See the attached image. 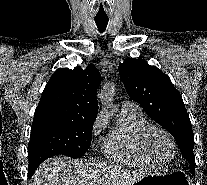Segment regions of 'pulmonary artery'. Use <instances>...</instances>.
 Here are the masks:
<instances>
[{"label":"pulmonary artery","mask_w":207,"mask_h":185,"mask_svg":"<svg viewBox=\"0 0 207 185\" xmlns=\"http://www.w3.org/2000/svg\"><path fill=\"white\" fill-rule=\"evenodd\" d=\"M122 109L123 110L137 111L138 110V106L133 104V103H130V102H125L122 105Z\"/></svg>","instance_id":"obj_1"}]
</instances>
